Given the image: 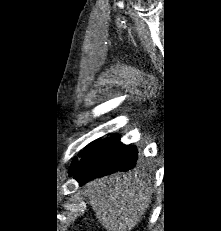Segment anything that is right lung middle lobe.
<instances>
[{"label": "right lung middle lobe", "mask_w": 221, "mask_h": 231, "mask_svg": "<svg viewBox=\"0 0 221 231\" xmlns=\"http://www.w3.org/2000/svg\"><path fill=\"white\" fill-rule=\"evenodd\" d=\"M97 141H98V140H95V141H93L92 143H90L88 146H86V147L84 148V150L81 151V152L79 153V156H82V155H83L86 151H88V150L90 149V147H91L93 144H95ZM77 161H78L77 158H75V159L73 160L72 165H74Z\"/></svg>", "instance_id": "1"}]
</instances>
